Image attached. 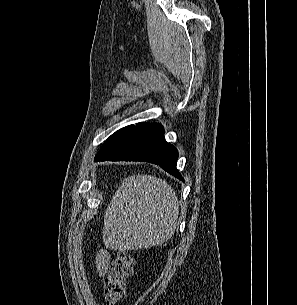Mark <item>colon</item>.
<instances>
[{"instance_id":"colon-1","label":"colon","mask_w":297,"mask_h":305,"mask_svg":"<svg viewBox=\"0 0 297 305\" xmlns=\"http://www.w3.org/2000/svg\"><path fill=\"white\" fill-rule=\"evenodd\" d=\"M134 263V256L129 251H121L113 259L103 284L104 299L109 305H116L124 298Z\"/></svg>"}]
</instances>
